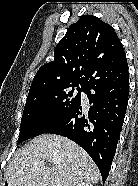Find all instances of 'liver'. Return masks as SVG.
Masks as SVG:
<instances>
[{
  "mask_svg": "<svg viewBox=\"0 0 138 186\" xmlns=\"http://www.w3.org/2000/svg\"><path fill=\"white\" fill-rule=\"evenodd\" d=\"M5 176L8 186H76L97 183L101 177L79 145L66 137L48 134L32 139L20 149Z\"/></svg>",
  "mask_w": 138,
  "mask_h": 186,
  "instance_id": "liver-1",
  "label": "liver"
}]
</instances>
